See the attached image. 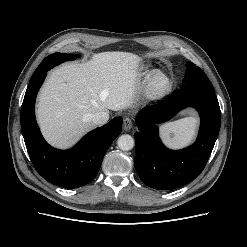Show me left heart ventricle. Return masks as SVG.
<instances>
[{"label": "left heart ventricle", "instance_id": "left-heart-ventricle-1", "mask_svg": "<svg viewBox=\"0 0 247 247\" xmlns=\"http://www.w3.org/2000/svg\"><path fill=\"white\" fill-rule=\"evenodd\" d=\"M165 85H166V82H165L163 79H161V78H158V79L155 81V86H156V88H158V89L163 88Z\"/></svg>", "mask_w": 247, "mask_h": 247}]
</instances>
